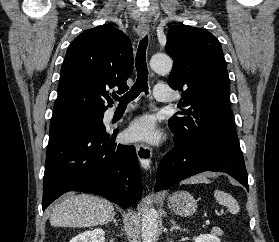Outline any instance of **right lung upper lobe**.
<instances>
[{
  "label": "right lung upper lobe",
  "mask_w": 279,
  "mask_h": 242,
  "mask_svg": "<svg viewBox=\"0 0 279 242\" xmlns=\"http://www.w3.org/2000/svg\"><path fill=\"white\" fill-rule=\"evenodd\" d=\"M132 70V46L122 31L109 25L84 31L67 50L53 116L78 111L104 113L107 106L103 99L114 87L126 91Z\"/></svg>",
  "instance_id": "right-lung-upper-lobe-1"
}]
</instances>
